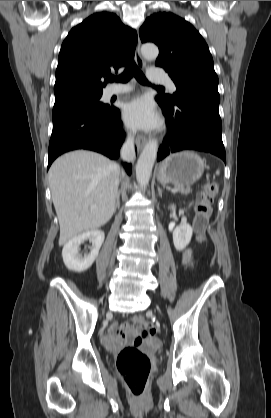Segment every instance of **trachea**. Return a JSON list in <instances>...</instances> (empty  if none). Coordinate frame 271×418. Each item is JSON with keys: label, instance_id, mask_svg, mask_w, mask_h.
<instances>
[{"label": "trachea", "instance_id": "obj_1", "mask_svg": "<svg viewBox=\"0 0 271 418\" xmlns=\"http://www.w3.org/2000/svg\"><path fill=\"white\" fill-rule=\"evenodd\" d=\"M133 76L136 78V80L139 83H141L143 85H150V83L146 79L145 75L137 67V65L135 64V62L128 63V65L126 66L124 72L120 76H118V77H110L108 80L110 82L116 81V82H120V83H126ZM158 88L164 89L163 87H158Z\"/></svg>", "mask_w": 271, "mask_h": 418}]
</instances>
